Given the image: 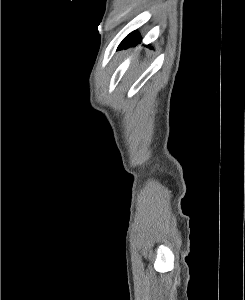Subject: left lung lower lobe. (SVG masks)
<instances>
[{"label":"left lung lower lobe","instance_id":"obj_1","mask_svg":"<svg viewBox=\"0 0 245 300\" xmlns=\"http://www.w3.org/2000/svg\"><path fill=\"white\" fill-rule=\"evenodd\" d=\"M141 42V36L137 31L128 34L120 43L118 49L127 48Z\"/></svg>","mask_w":245,"mask_h":300}]
</instances>
